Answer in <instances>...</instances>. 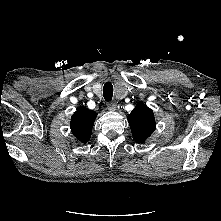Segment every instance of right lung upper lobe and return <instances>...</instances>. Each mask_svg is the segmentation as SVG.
<instances>
[{
    "label": "right lung upper lobe",
    "mask_w": 221,
    "mask_h": 221,
    "mask_svg": "<svg viewBox=\"0 0 221 221\" xmlns=\"http://www.w3.org/2000/svg\"><path fill=\"white\" fill-rule=\"evenodd\" d=\"M97 114L85 107L79 108L71 118V130L73 135L82 143H86L90 137Z\"/></svg>",
    "instance_id": "right-lung-upper-lobe-1"
}]
</instances>
